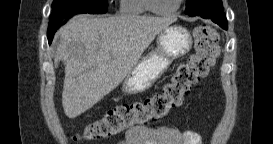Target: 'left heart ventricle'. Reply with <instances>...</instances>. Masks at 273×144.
<instances>
[{"instance_id":"left-heart-ventricle-1","label":"left heart ventricle","mask_w":273,"mask_h":144,"mask_svg":"<svg viewBox=\"0 0 273 144\" xmlns=\"http://www.w3.org/2000/svg\"><path fill=\"white\" fill-rule=\"evenodd\" d=\"M178 0H156V7L160 10H168L176 6Z\"/></svg>"}]
</instances>
